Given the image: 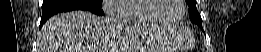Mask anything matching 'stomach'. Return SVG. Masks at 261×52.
I'll list each match as a JSON object with an SVG mask.
<instances>
[{
  "mask_svg": "<svg viewBox=\"0 0 261 52\" xmlns=\"http://www.w3.org/2000/svg\"><path fill=\"white\" fill-rule=\"evenodd\" d=\"M145 29L149 30V29H152V28H150V27H145ZM156 50H164V49L156 48Z\"/></svg>",
  "mask_w": 261,
  "mask_h": 52,
  "instance_id": "1",
  "label": "stomach"
}]
</instances>
